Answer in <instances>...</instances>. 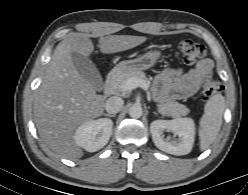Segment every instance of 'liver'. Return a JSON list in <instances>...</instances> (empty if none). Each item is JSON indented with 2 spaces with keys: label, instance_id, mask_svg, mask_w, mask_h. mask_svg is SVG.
<instances>
[{
  "label": "liver",
  "instance_id": "1",
  "mask_svg": "<svg viewBox=\"0 0 248 195\" xmlns=\"http://www.w3.org/2000/svg\"><path fill=\"white\" fill-rule=\"evenodd\" d=\"M147 40L145 36L109 35L100 37L99 48L110 54L132 49ZM94 45L84 33H71L55 48L46 75L37 90L33 115L44 143L65 158H80L83 151L75 143L77 127L99 117L104 98L76 70L71 53L89 57Z\"/></svg>",
  "mask_w": 248,
  "mask_h": 195
}]
</instances>
